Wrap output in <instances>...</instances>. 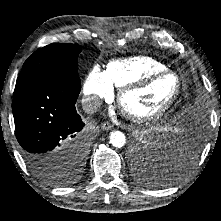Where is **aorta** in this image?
Returning <instances> with one entry per match:
<instances>
[{"label": "aorta", "mask_w": 221, "mask_h": 221, "mask_svg": "<svg viewBox=\"0 0 221 221\" xmlns=\"http://www.w3.org/2000/svg\"><path fill=\"white\" fill-rule=\"evenodd\" d=\"M110 143L112 146L121 148L126 143V137L121 131H113L110 134Z\"/></svg>", "instance_id": "obj_1"}]
</instances>
